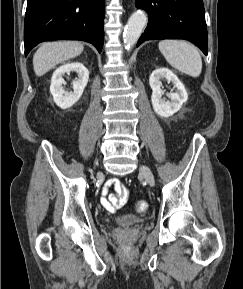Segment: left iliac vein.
I'll return each mask as SVG.
<instances>
[{
	"label": "left iliac vein",
	"mask_w": 243,
	"mask_h": 289,
	"mask_svg": "<svg viewBox=\"0 0 243 289\" xmlns=\"http://www.w3.org/2000/svg\"><path fill=\"white\" fill-rule=\"evenodd\" d=\"M140 173L142 174V176L145 178L146 182L150 186H154L155 185L154 176H153L151 170L147 166L142 165L140 167Z\"/></svg>",
	"instance_id": "1"
}]
</instances>
